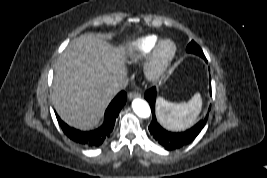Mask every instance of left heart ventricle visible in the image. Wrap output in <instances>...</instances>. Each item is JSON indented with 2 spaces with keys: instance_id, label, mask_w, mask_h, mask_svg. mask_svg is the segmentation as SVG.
Segmentation results:
<instances>
[{
  "instance_id": "b2bd125f",
  "label": "left heart ventricle",
  "mask_w": 267,
  "mask_h": 178,
  "mask_svg": "<svg viewBox=\"0 0 267 178\" xmlns=\"http://www.w3.org/2000/svg\"><path fill=\"white\" fill-rule=\"evenodd\" d=\"M171 51V45L170 44H166L163 48V53L164 54H169Z\"/></svg>"
}]
</instances>
